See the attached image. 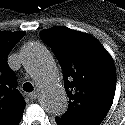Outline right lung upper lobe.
Instances as JSON below:
<instances>
[{
    "mask_svg": "<svg viewBox=\"0 0 125 125\" xmlns=\"http://www.w3.org/2000/svg\"><path fill=\"white\" fill-rule=\"evenodd\" d=\"M25 32L0 31V125H6L24 111L26 102L16 89V75L7 58Z\"/></svg>",
    "mask_w": 125,
    "mask_h": 125,
    "instance_id": "right-lung-upper-lobe-1",
    "label": "right lung upper lobe"
}]
</instances>
